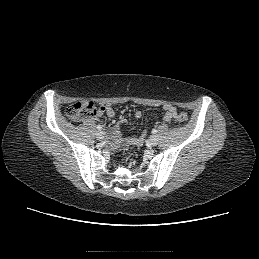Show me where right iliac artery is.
Listing matches in <instances>:
<instances>
[{"label":"right iliac artery","instance_id":"82829eb1","mask_svg":"<svg viewBox=\"0 0 259 259\" xmlns=\"http://www.w3.org/2000/svg\"><path fill=\"white\" fill-rule=\"evenodd\" d=\"M97 129H98V130H101V129H102L101 125H98V126H97Z\"/></svg>","mask_w":259,"mask_h":259}]
</instances>
